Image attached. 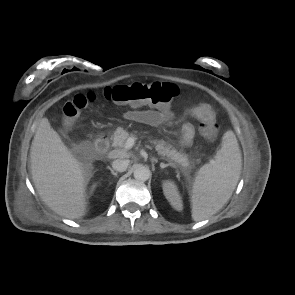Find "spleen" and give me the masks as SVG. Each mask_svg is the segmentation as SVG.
Returning <instances> with one entry per match:
<instances>
[{"label": "spleen", "mask_w": 295, "mask_h": 295, "mask_svg": "<svg viewBox=\"0 0 295 295\" xmlns=\"http://www.w3.org/2000/svg\"><path fill=\"white\" fill-rule=\"evenodd\" d=\"M242 159L236 136L227 131L214 160L203 165L191 191L192 219L202 221L218 212L231 197L240 178Z\"/></svg>", "instance_id": "3e777b00"}]
</instances>
